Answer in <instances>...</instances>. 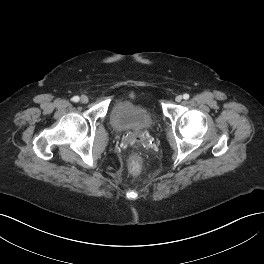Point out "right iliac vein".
Here are the masks:
<instances>
[{"mask_svg":"<svg viewBox=\"0 0 264 264\" xmlns=\"http://www.w3.org/2000/svg\"><path fill=\"white\" fill-rule=\"evenodd\" d=\"M89 101L88 97L86 95H82L80 98V102L83 104H86Z\"/></svg>","mask_w":264,"mask_h":264,"instance_id":"obj_1","label":"right iliac vein"}]
</instances>
